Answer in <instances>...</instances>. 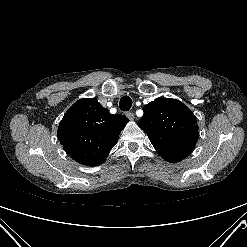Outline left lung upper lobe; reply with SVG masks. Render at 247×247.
Returning <instances> with one entry per match:
<instances>
[{"label":"left lung upper lobe","instance_id":"5c2ea615","mask_svg":"<svg viewBox=\"0 0 247 247\" xmlns=\"http://www.w3.org/2000/svg\"><path fill=\"white\" fill-rule=\"evenodd\" d=\"M143 110L138 125L164 160L179 162L193 151L199 135L198 125L186 105L176 99L157 98Z\"/></svg>","mask_w":247,"mask_h":247}]
</instances>
